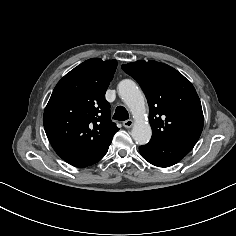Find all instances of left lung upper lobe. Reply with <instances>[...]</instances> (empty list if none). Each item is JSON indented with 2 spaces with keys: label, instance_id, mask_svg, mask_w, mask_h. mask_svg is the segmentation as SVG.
<instances>
[{
  "label": "left lung upper lobe",
  "instance_id": "5c2ea615",
  "mask_svg": "<svg viewBox=\"0 0 236 236\" xmlns=\"http://www.w3.org/2000/svg\"><path fill=\"white\" fill-rule=\"evenodd\" d=\"M122 69L132 76L146 95L150 143H193L202 132L204 117L193 85L169 65L156 61H136Z\"/></svg>",
  "mask_w": 236,
  "mask_h": 236
}]
</instances>
